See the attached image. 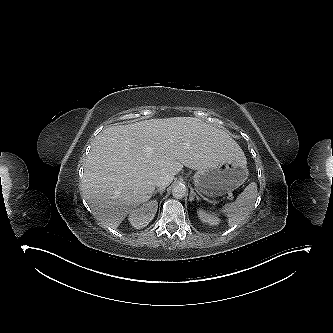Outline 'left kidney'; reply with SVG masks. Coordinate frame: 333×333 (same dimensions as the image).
<instances>
[{
	"mask_svg": "<svg viewBox=\"0 0 333 333\" xmlns=\"http://www.w3.org/2000/svg\"><path fill=\"white\" fill-rule=\"evenodd\" d=\"M197 213L200 220L204 223H208L210 225H218L220 222V219L217 216L207 213L203 209H199Z\"/></svg>",
	"mask_w": 333,
	"mask_h": 333,
	"instance_id": "obj_1",
	"label": "left kidney"
}]
</instances>
